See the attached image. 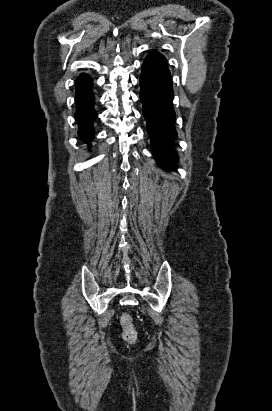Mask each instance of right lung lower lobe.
<instances>
[{"mask_svg":"<svg viewBox=\"0 0 272 411\" xmlns=\"http://www.w3.org/2000/svg\"><path fill=\"white\" fill-rule=\"evenodd\" d=\"M92 79L76 86L75 100L76 113L75 118L78 122L80 138L86 143L94 138L93 121L97 117L94 109V94L92 92Z\"/></svg>","mask_w":272,"mask_h":411,"instance_id":"obj_1","label":"right lung lower lobe"}]
</instances>
